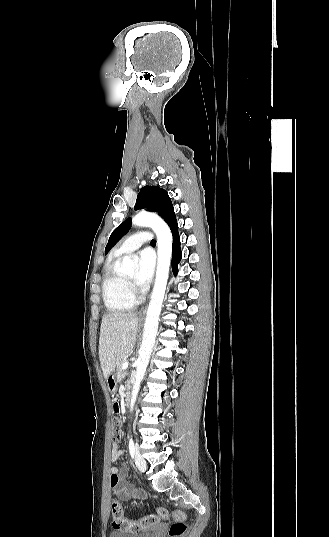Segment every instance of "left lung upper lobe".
I'll list each match as a JSON object with an SVG mask.
<instances>
[{
    "mask_svg": "<svg viewBox=\"0 0 329 537\" xmlns=\"http://www.w3.org/2000/svg\"><path fill=\"white\" fill-rule=\"evenodd\" d=\"M147 208L149 211L158 213L171 227L177 225L173 205L167 191L157 186L143 187L136 200L135 210ZM130 218L125 220L111 234L105 248V254L123 237L130 228Z\"/></svg>",
    "mask_w": 329,
    "mask_h": 537,
    "instance_id": "5c2ea615",
    "label": "left lung upper lobe"
}]
</instances>
